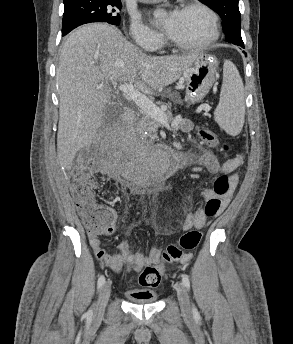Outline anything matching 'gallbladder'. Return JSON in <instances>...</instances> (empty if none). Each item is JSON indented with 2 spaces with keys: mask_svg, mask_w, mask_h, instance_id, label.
Listing matches in <instances>:
<instances>
[{
  "mask_svg": "<svg viewBox=\"0 0 293 344\" xmlns=\"http://www.w3.org/2000/svg\"><path fill=\"white\" fill-rule=\"evenodd\" d=\"M111 108H112V106H110V107H107V108H106V110H105V113H106V114H108V113H109V111L111 110Z\"/></svg>",
  "mask_w": 293,
  "mask_h": 344,
  "instance_id": "1",
  "label": "gallbladder"
}]
</instances>
